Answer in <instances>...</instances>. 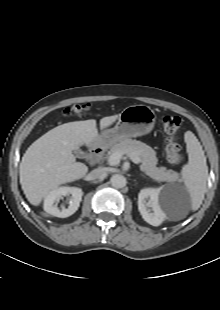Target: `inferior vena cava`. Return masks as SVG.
Returning <instances> with one entry per match:
<instances>
[{"label": "inferior vena cava", "mask_w": 220, "mask_h": 310, "mask_svg": "<svg viewBox=\"0 0 220 310\" xmlns=\"http://www.w3.org/2000/svg\"><path fill=\"white\" fill-rule=\"evenodd\" d=\"M105 174H106L105 168H97V169L92 170L89 173L88 177L90 180H95V179L103 177Z\"/></svg>", "instance_id": "obj_1"}]
</instances>
